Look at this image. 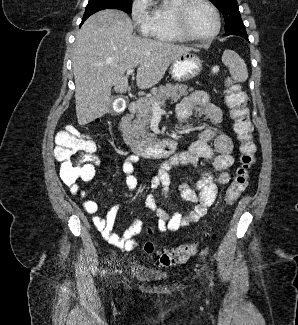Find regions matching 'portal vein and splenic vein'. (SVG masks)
Segmentation results:
<instances>
[{"label":"portal vein and splenic vein","mask_w":298,"mask_h":325,"mask_svg":"<svg viewBox=\"0 0 298 325\" xmlns=\"http://www.w3.org/2000/svg\"><path fill=\"white\" fill-rule=\"evenodd\" d=\"M126 74H134V68H129V70H126ZM160 104H162V102H155V100H152V112H162Z\"/></svg>","instance_id":"18ae733b"}]
</instances>
